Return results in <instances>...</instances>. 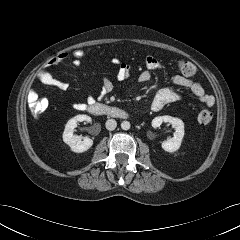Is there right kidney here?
<instances>
[{
    "instance_id": "obj_1",
    "label": "right kidney",
    "mask_w": 240,
    "mask_h": 240,
    "mask_svg": "<svg viewBox=\"0 0 240 240\" xmlns=\"http://www.w3.org/2000/svg\"><path fill=\"white\" fill-rule=\"evenodd\" d=\"M91 122V117L88 115H77L71 118L64 129L63 141L69 145L71 150L75 153H82L87 151L93 145V140L89 137H81L74 134V129L77 127L78 122ZM83 139V140H82Z\"/></svg>"
}]
</instances>
